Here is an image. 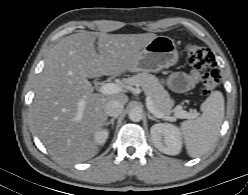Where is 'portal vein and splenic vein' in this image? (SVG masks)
<instances>
[{"instance_id": "obj_1", "label": "portal vein and splenic vein", "mask_w": 248, "mask_h": 195, "mask_svg": "<svg viewBox=\"0 0 248 195\" xmlns=\"http://www.w3.org/2000/svg\"><path fill=\"white\" fill-rule=\"evenodd\" d=\"M99 91L102 93V94H107V95H111V94H117V93H120L123 91V87L120 86L119 84H115V83H106V84H103ZM85 103L82 101L79 103V107L80 109H83ZM146 106H147V109L153 113L157 118H167L169 120H173L175 118H181V119H191V118H195L196 117V114H193V113H189L187 111H179V112H176L174 114V117H167L165 116L163 113L157 111L153 105V101L151 99V97L149 95H147L146 97Z\"/></svg>"}]
</instances>
